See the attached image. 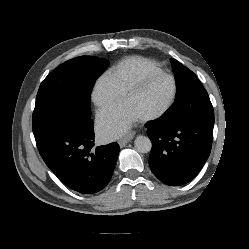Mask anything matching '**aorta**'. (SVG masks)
<instances>
[{"instance_id": "1", "label": "aorta", "mask_w": 249, "mask_h": 249, "mask_svg": "<svg viewBox=\"0 0 249 249\" xmlns=\"http://www.w3.org/2000/svg\"><path fill=\"white\" fill-rule=\"evenodd\" d=\"M134 146L139 153H148L152 148V142L146 136H138L134 141Z\"/></svg>"}]
</instances>
